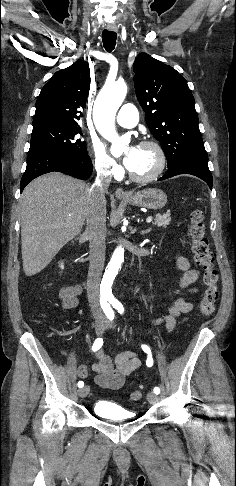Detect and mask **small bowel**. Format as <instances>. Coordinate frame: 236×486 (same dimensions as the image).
<instances>
[{
  "instance_id": "c3829d8e",
  "label": "small bowel",
  "mask_w": 236,
  "mask_h": 486,
  "mask_svg": "<svg viewBox=\"0 0 236 486\" xmlns=\"http://www.w3.org/2000/svg\"><path fill=\"white\" fill-rule=\"evenodd\" d=\"M177 266L182 271L180 279L181 288H190V286L199 278V271L192 268L186 258L180 257L177 260ZM80 285H66L60 289L59 298L63 310L74 308L78 304L77 296L81 292ZM190 291H196L190 288ZM194 305L184 298H177L173 304L168 307L167 313L158 316L152 320V324L164 323L168 330L175 326L176 318L182 314L189 313L193 310ZM97 362L92 365L82 364L78 367L79 377L86 378L89 373H96L95 383L106 389H120L131 373L141 367V360L138 355L132 351L119 353L114 359H111L103 350L96 353Z\"/></svg>"
}]
</instances>
